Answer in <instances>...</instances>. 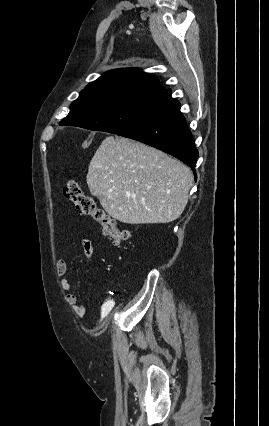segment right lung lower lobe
<instances>
[{
    "instance_id": "obj_1",
    "label": "right lung lower lobe",
    "mask_w": 269,
    "mask_h": 426,
    "mask_svg": "<svg viewBox=\"0 0 269 426\" xmlns=\"http://www.w3.org/2000/svg\"><path fill=\"white\" fill-rule=\"evenodd\" d=\"M159 150H162L188 165L196 166L198 150L186 120L180 112V103L171 98V90H166L153 109L132 127L119 133ZM196 179V173L194 172Z\"/></svg>"
}]
</instances>
